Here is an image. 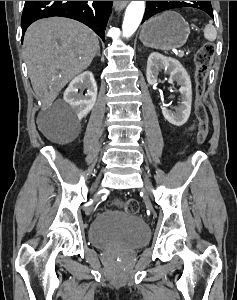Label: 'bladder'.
I'll list each match as a JSON object with an SVG mask.
<instances>
[{
    "label": "bladder",
    "instance_id": "1",
    "mask_svg": "<svg viewBox=\"0 0 237 300\" xmlns=\"http://www.w3.org/2000/svg\"><path fill=\"white\" fill-rule=\"evenodd\" d=\"M149 235L140 217L115 210L99 213L89 227L90 242L100 248L138 247L148 241Z\"/></svg>",
    "mask_w": 237,
    "mask_h": 300
}]
</instances>
